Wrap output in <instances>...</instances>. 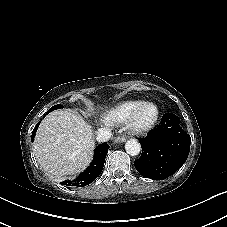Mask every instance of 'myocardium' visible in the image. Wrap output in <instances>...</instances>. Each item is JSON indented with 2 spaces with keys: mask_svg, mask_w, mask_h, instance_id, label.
I'll return each instance as SVG.
<instances>
[{
  "mask_svg": "<svg viewBox=\"0 0 227 227\" xmlns=\"http://www.w3.org/2000/svg\"><path fill=\"white\" fill-rule=\"evenodd\" d=\"M145 107H152L154 109L153 116L144 122L138 120L141 110ZM159 118V107L151 101H143L126 119L125 127L133 135H141L150 131Z\"/></svg>",
  "mask_w": 227,
  "mask_h": 227,
  "instance_id": "1",
  "label": "myocardium"
}]
</instances>
